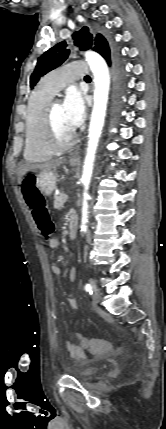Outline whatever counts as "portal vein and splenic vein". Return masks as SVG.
Returning a JSON list of instances; mask_svg holds the SVG:
<instances>
[{
	"instance_id": "1",
	"label": "portal vein and splenic vein",
	"mask_w": 166,
	"mask_h": 429,
	"mask_svg": "<svg viewBox=\"0 0 166 429\" xmlns=\"http://www.w3.org/2000/svg\"><path fill=\"white\" fill-rule=\"evenodd\" d=\"M64 199H65V200H67V199H68V195H67V194H65V195H64Z\"/></svg>"
}]
</instances>
